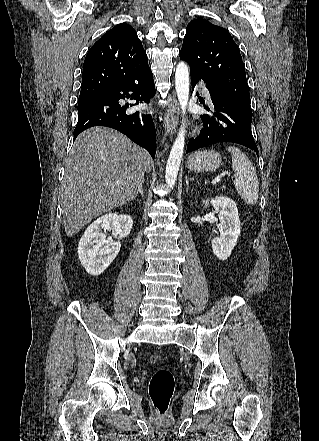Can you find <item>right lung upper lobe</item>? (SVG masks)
<instances>
[{
  "instance_id": "obj_1",
  "label": "right lung upper lobe",
  "mask_w": 319,
  "mask_h": 441,
  "mask_svg": "<svg viewBox=\"0 0 319 441\" xmlns=\"http://www.w3.org/2000/svg\"><path fill=\"white\" fill-rule=\"evenodd\" d=\"M149 70L147 54L136 31L121 23L106 32L88 51L78 104Z\"/></svg>"
}]
</instances>
